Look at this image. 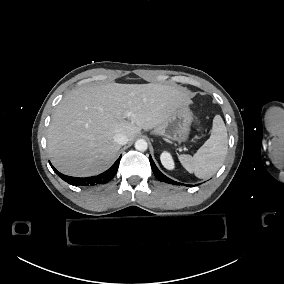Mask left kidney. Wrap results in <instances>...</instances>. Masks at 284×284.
Returning <instances> with one entry per match:
<instances>
[{"mask_svg":"<svg viewBox=\"0 0 284 284\" xmlns=\"http://www.w3.org/2000/svg\"><path fill=\"white\" fill-rule=\"evenodd\" d=\"M160 160L162 165L168 169V170H173L174 169V161L173 158L171 156V154L167 151H164L161 156H160Z\"/></svg>","mask_w":284,"mask_h":284,"instance_id":"1","label":"left kidney"}]
</instances>
